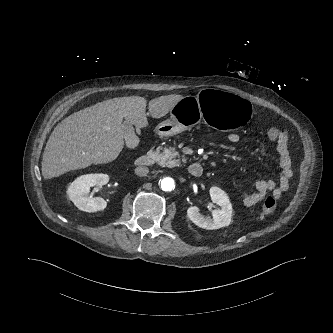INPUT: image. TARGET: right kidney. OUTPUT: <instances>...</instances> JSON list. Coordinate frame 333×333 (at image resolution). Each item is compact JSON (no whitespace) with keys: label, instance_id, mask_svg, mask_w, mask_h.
Here are the masks:
<instances>
[{"label":"right kidney","instance_id":"ca27d5eb","mask_svg":"<svg viewBox=\"0 0 333 333\" xmlns=\"http://www.w3.org/2000/svg\"><path fill=\"white\" fill-rule=\"evenodd\" d=\"M109 176L107 174H86L77 177L68 187L67 194L75 206L86 212H96L104 210L106 201L101 197L89 196L90 187L107 184Z\"/></svg>","mask_w":333,"mask_h":333}]
</instances>
